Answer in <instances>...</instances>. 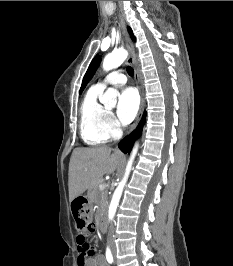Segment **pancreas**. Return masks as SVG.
Masks as SVG:
<instances>
[{"instance_id":"pancreas-1","label":"pancreas","mask_w":233,"mask_h":266,"mask_svg":"<svg viewBox=\"0 0 233 266\" xmlns=\"http://www.w3.org/2000/svg\"><path fill=\"white\" fill-rule=\"evenodd\" d=\"M100 182L101 181H98L93 187L88 190V197L92 202L100 205L101 207H105L107 192L101 191L99 189Z\"/></svg>"}]
</instances>
